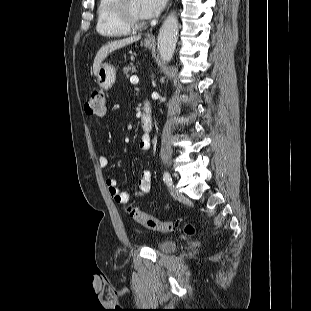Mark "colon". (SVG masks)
I'll return each mask as SVG.
<instances>
[{"label": "colon", "instance_id": "1", "mask_svg": "<svg viewBox=\"0 0 311 311\" xmlns=\"http://www.w3.org/2000/svg\"><path fill=\"white\" fill-rule=\"evenodd\" d=\"M85 112L90 116L102 117L107 112V102L105 93L100 89L91 91L89 98L85 103ZM128 215L138 224L152 230L160 232H172L179 228V221L163 222L152 215H149L134 206H127ZM194 228L191 224L185 226L187 234L193 233Z\"/></svg>", "mask_w": 311, "mask_h": 311}]
</instances>
